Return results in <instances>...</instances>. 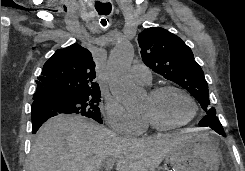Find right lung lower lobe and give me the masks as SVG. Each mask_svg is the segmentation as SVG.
<instances>
[{"mask_svg":"<svg viewBox=\"0 0 245 171\" xmlns=\"http://www.w3.org/2000/svg\"><path fill=\"white\" fill-rule=\"evenodd\" d=\"M64 114L61 110L51 105L47 101L38 100L32 104V133H36L40 126L50 117Z\"/></svg>","mask_w":245,"mask_h":171,"instance_id":"1","label":"right lung lower lobe"}]
</instances>
